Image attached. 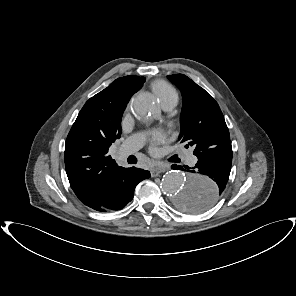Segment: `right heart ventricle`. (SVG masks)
<instances>
[{
    "instance_id": "e07e8e85",
    "label": "right heart ventricle",
    "mask_w": 296,
    "mask_h": 296,
    "mask_svg": "<svg viewBox=\"0 0 296 296\" xmlns=\"http://www.w3.org/2000/svg\"><path fill=\"white\" fill-rule=\"evenodd\" d=\"M152 90L164 106L171 102L178 101L176 90L165 81H156L152 84Z\"/></svg>"
}]
</instances>
